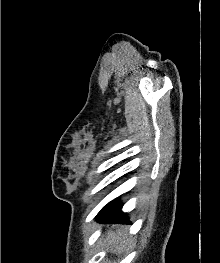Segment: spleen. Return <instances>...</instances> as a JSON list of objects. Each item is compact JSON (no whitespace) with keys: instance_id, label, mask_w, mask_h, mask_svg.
I'll return each mask as SVG.
<instances>
[{"instance_id":"obj_1","label":"spleen","mask_w":220,"mask_h":263,"mask_svg":"<svg viewBox=\"0 0 220 263\" xmlns=\"http://www.w3.org/2000/svg\"><path fill=\"white\" fill-rule=\"evenodd\" d=\"M127 244L128 239L125 238V234L121 230H118L116 234L108 232L107 247L112 251L120 253L125 249Z\"/></svg>"}]
</instances>
